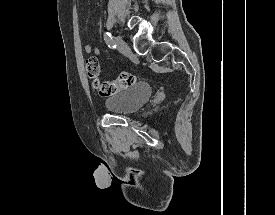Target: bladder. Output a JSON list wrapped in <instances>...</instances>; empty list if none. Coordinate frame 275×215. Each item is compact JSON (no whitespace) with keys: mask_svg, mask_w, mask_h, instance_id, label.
Instances as JSON below:
<instances>
[{"mask_svg":"<svg viewBox=\"0 0 275 215\" xmlns=\"http://www.w3.org/2000/svg\"><path fill=\"white\" fill-rule=\"evenodd\" d=\"M152 94V87L146 82H139L132 87L109 95L105 108L116 115H131L147 103Z\"/></svg>","mask_w":275,"mask_h":215,"instance_id":"obj_1","label":"bladder"}]
</instances>
